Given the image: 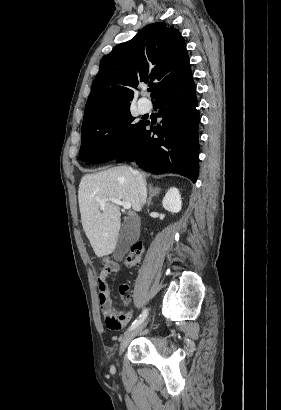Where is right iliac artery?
Instances as JSON below:
<instances>
[{"mask_svg": "<svg viewBox=\"0 0 281 410\" xmlns=\"http://www.w3.org/2000/svg\"><path fill=\"white\" fill-rule=\"evenodd\" d=\"M147 314H148L147 309H144L142 311V313L140 314V316L129 327L128 331H130V330L136 328L137 326H139L144 321V319L147 317Z\"/></svg>", "mask_w": 281, "mask_h": 410, "instance_id": "right-iliac-artery-1", "label": "right iliac artery"}]
</instances>
